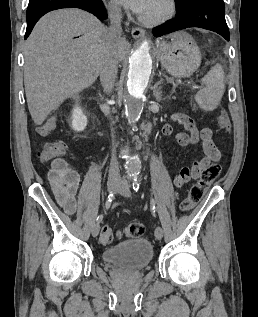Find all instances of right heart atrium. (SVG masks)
I'll return each instance as SVG.
<instances>
[{"label":"right heart atrium","instance_id":"right-heart-atrium-1","mask_svg":"<svg viewBox=\"0 0 258 317\" xmlns=\"http://www.w3.org/2000/svg\"><path fill=\"white\" fill-rule=\"evenodd\" d=\"M110 8L114 12H117L119 10L118 6L115 3H111Z\"/></svg>","mask_w":258,"mask_h":317}]
</instances>
